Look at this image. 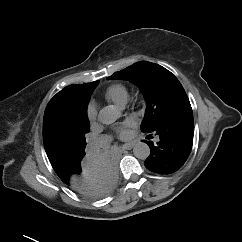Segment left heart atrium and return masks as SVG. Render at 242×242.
Masks as SVG:
<instances>
[{
	"label": "left heart atrium",
	"mask_w": 242,
	"mask_h": 242,
	"mask_svg": "<svg viewBox=\"0 0 242 242\" xmlns=\"http://www.w3.org/2000/svg\"><path fill=\"white\" fill-rule=\"evenodd\" d=\"M134 125V123L130 120L125 121L124 123H122L120 126L117 127L116 131L118 136L121 139H127L129 137V129Z\"/></svg>",
	"instance_id": "39dd6f15"
}]
</instances>
